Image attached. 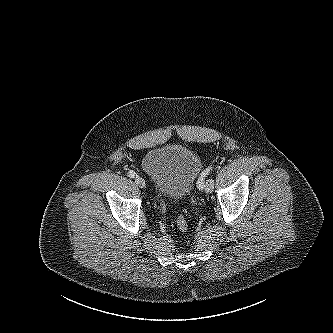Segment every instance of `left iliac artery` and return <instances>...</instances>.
I'll list each match as a JSON object with an SVG mask.
<instances>
[{
	"mask_svg": "<svg viewBox=\"0 0 333 333\" xmlns=\"http://www.w3.org/2000/svg\"><path fill=\"white\" fill-rule=\"evenodd\" d=\"M212 170V167H208L206 168L202 173L201 176L198 179V183H197V187L199 190H203V188L205 187V177L210 173V171Z\"/></svg>",
	"mask_w": 333,
	"mask_h": 333,
	"instance_id": "left-iliac-artery-1",
	"label": "left iliac artery"
}]
</instances>
